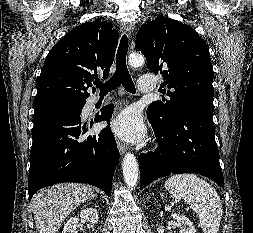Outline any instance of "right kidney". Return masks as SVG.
<instances>
[{
	"label": "right kidney",
	"instance_id": "obj_1",
	"mask_svg": "<svg viewBox=\"0 0 253 233\" xmlns=\"http://www.w3.org/2000/svg\"><path fill=\"white\" fill-rule=\"evenodd\" d=\"M80 218L87 221L89 224H96L98 222V214L94 208H86L81 210ZM78 217L70 218L65 224L62 233H76V227L78 224Z\"/></svg>",
	"mask_w": 253,
	"mask_h": 233
}]
</instances>
